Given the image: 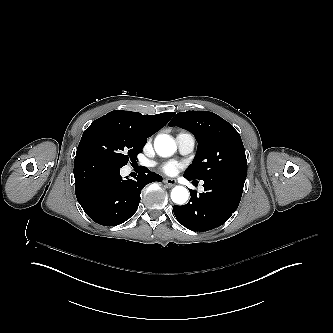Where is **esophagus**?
Segmentation results:
<instances>
[{"mask_svg": "<svg viewBox=\"0 0 333 333\" xmlns=\"http://www.w3.org/2000/svg\"><path fill=\"white\" fill-rule=\"evenodd\" d=\"M176 179H172V178H166L164 180V183L168 184L169 186H174L176 184Z\"/></svg>", "mask_w": 333, "mask_h": 333, "instance_id": "esophagus-1", "label": "esophagus"}]
</instances>
